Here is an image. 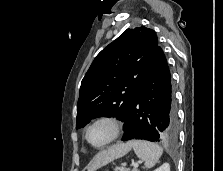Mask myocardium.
<instances>
[{"label":"myocardium","mask_w":223,"mask_h":171,"mask_svg":"<svg viewBox=\"0 0 223 171\" xmlns=\"http://www.w3.org/2000/svg\"><path fill=\"white\" fill-rule=\"evenodd\" d=\"M99 123H108L113 130V133L111 135V137L104 142L101 145H95L93 143H91V141L89 140V131L90 129L99 124ZM122 128H123V124L121 122V120L119 118H117L116 116L113 115H101L95 119H93L85 128V133H84V138L86 140V142L93 148L95 149H103L105 147H107L108 145H110L111 143H113L121 134L122 132Z\"/></svg>","instance_id":"1"}]
</instances>
